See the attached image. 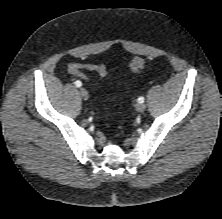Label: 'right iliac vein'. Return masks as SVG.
Here are the masks:
<instances>
[{"label":"right iliac vein","instance_id":"obj_1","mask_svg":"<svg viewBox=\"0 0 222 219\" xmlns=\"http://www.w3.org/2000/svg\"><path fill=\"white\" fill-rule=\"evenodd\" d=\"M80 95L84 100H88L89 98V93L85 88H80Z\"/></svg>","mask_w":222,"mask_h":219}]
</instances>
